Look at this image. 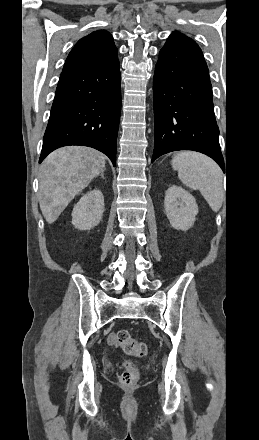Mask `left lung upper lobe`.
<instances>
[{
	"label": "left lung upper lobe",
	"mask_w": 259,
	"mask_h": 440,
	"mask_svg": "<svg viewBox=\"0 0 259 440\" xmlns=\"http://www.w3.org/2000/svg\"><path fill=\"white\" fill-rule=\"evenodd\" d=\"M172 34H181V33H179V32H173Z\"/></svg>",
	"instance_id": "left-lung-upper-lobe-1"
}]
</instances>
